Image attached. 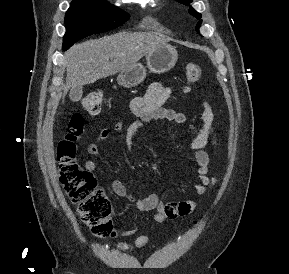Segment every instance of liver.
Here are the masks:
<instances>
[{
    "label": "liver",
    "instance_id": "6515ba94",
    "mask_svg": "<svg viewBox=\"0 0 289 274\" xmlns=\"http://www.w3.org/2000/svg\"><path fill=\"white\" fill-rule=\"evenodd\" d=\"M163 44H166L163 37L141 32H120L77 44L65 53L64 92L126 71Z\"/></svg>",
    "mask_w": 289,
    "mask_h": 274
}]
</instances>
